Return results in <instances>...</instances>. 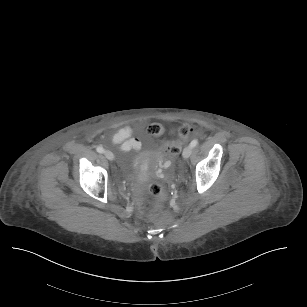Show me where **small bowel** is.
<instances>
[{"label":"small bowel","instance_id":"1","mask_svg":"<svg viewBox=\"0 0 307 307\" xmlns=\"http://www.w3.org/2000/svg\"><path fill=\"white\" fill-rule=\"evenodd\" d=\"M132 132L133 130L130 126H124L113 134L112 142L119 145L123 151L138 149L140 142L137 139L131 138Z\"/></svg>","mask_w":307,"mask_h":307}]
</instances>
